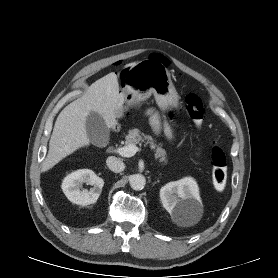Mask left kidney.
I'll return each instance as SVG.
<instances>
[{"instance_id":"5707ae66","label":"left kidney","mask_w":278,"mask_h":278,"mask_svg":"<svg viewBox=\"0 0 278 278\" xmlns=\"http://www.w3.org/2000/svg\"><path fill=\"white\" fill-rule=\"evenodd\" d=\"M160 198L163 207L176 223L191 225L198 221L203 205L193 178L185 177L167 183L160 189Z\"/></svg>"}]
</instances>
